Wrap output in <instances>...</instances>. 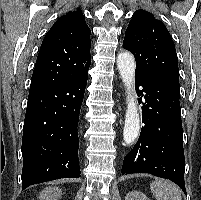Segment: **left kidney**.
I'll return each instance as SVG.
<instances>
[{"mask_svg": "<svg viewBox=\"0 0 201 200\" xmlns=\"http://www.w3.org/2000/svg\"><path fill=\"white\" fill-rule=\"evenodd\" d=\"M125 200H150V199L140 191H131L127 193Z\"/></svg>", "mask_w": 201, "mask_h": 200, "instance_id": "obj_1", "label": "left kidney"}]
</instances>
